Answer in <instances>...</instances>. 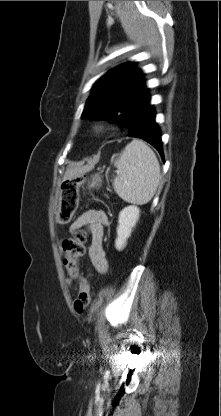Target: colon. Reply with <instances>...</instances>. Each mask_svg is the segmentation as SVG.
Masks as SVG:
<instances>
[{"label": "colon", "mask_w": 221, "mask_h": 416, "mask_svg": "<svg viewBox=\"0 0 221 416\" xmlns=\"http://www.w3.org/2000/svg\"><path fill=\"white\" fill-rule=\"evenodd\" d=\"M84 178L77 176L64 182L61 188L59 208L56 215L57 223L68 224L78 207V188ZM85 234L81 230H76L73 235L67 237L63 242L66 251L65 266L70 276L78 282V294L74 300V309L77 313H82L90 303V287L87 280L81 275L78 262L85 252Z\"/></svg>", "instance_id": "obj_1"}]
</instances>
